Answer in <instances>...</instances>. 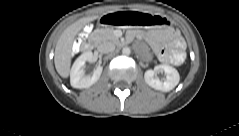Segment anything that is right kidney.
Listing matches in <instances>:
<instances>
[{"label":"right kidney","mask_w":239,"mask_h":136,"mask_svg":"<svg viewBox=\"0 0 239 136\" xmlns=\"http://www.w3.org/2000/svg\"><path fill=\"white\" fill-rule=\"evenodd\" d=\"M93 60V53L91 51L84 52L74 62L70 71V84L73 88L85 89L96 83L102 73L103 68L98 66L92 76H85L84 65L86 62Z\"/></svg>","instance_id":"obj_1"}]
</instances>
